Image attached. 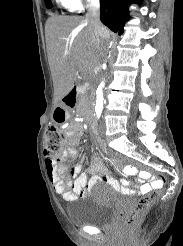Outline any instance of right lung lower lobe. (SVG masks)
<instances>
[{"mask_svg": "<svg viewBox=\"0 0 183 246\" xmlns=\"http://www.w3.org/2000/svg\"><path fill=\"white\" fill-rule=\"evenodd\" d=\"M142 0H100V19L113 32L123 33L124 24L129 19L128 7Z\"/></svg>", "mask_w": 183, "mask_h": 246, "instance_id": "obj_1", "label": "right lung lower lobe"}]
</instances>
